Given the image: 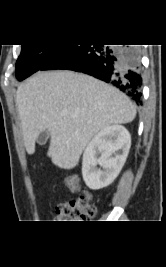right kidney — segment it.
I'll return each instance as SVG.
<instances>
[{"mask_svg":"<svg viewBox=\"0 0 166 267\" xmlns=\"http://www.w3.org/2000/svg\"><path fill=\"white\" fill-rule=\"evenodd\" d=\"M130 146L131 136L124 126L112 125L100 130L83 154L82 176L86 185L101 189L111 184L121 171Z\"/></svg>","mask_w":166,"mask_h":267,"instance_id":"obj_1","label":"right kidney"}]
</instances>
